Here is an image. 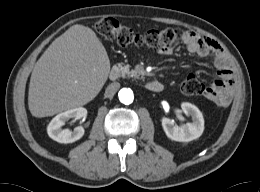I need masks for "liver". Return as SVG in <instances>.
Returning <instances> with one entry per match:
<instances>
[{
    "label": "liver",
    "instance_id": "liver-1",
    "mask_svg": "<svg viewBox=\"0 0 260 192\" xmlns=\"http://www.w3.org/2000/svg\"><path fill=\"white\" fill-rule=\"evenodd\" d=\"M110 72L106 49L95 32L73 25L56 38L31 74L28 106L34 117L53 116L93 100Z\"/></svg>",
    "mask_w": 260,
    "mask_h": 192
}]
</instances>
